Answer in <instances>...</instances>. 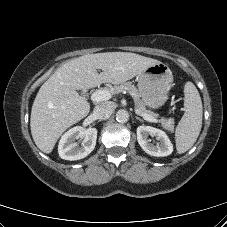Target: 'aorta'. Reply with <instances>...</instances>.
I'll return each instance as SVG.
<instances>
[{
	"label": "aorta",
	"mask_w": 227,
	"mask_h": 227,
	"mask_svg": "<svg viewBox=\"0 0 227 227\" xmlns=\"http://www.w3.org/2000/svg\"><path fill=\"white\" fill-rule=\"evenodd\" d=\"M116 120L119 123H125L129 120V113L128 111L124 110V109H120L117 111L116 113Z\"/></svg>",
	"instance_id": "aorta-1"
}]
</instances>
